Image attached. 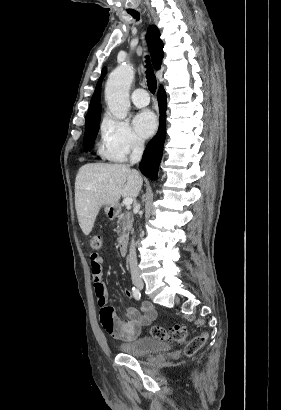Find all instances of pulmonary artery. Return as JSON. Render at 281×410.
Listing matches in <instances>:
<instances>
[{
	"label": "pulmonary artery",
	"mask_w": 281,
	"mask_h": 410,
	"mask_svg": "<svg viewBox=\"0 0 281 410\" xmlns=\"http://www.w3.org/2000/svg\"><path fill=\"white\" fill-rule=\"evenodd\" d=\"M131 99L134 105L140 108L147 106L150 102V97L147 91L142 88L134 90Z\"/></svg>",
	"instance_id": "1"
}]
</instances>
